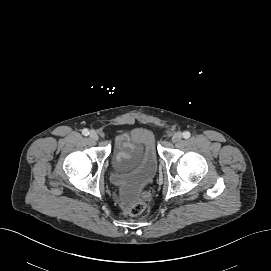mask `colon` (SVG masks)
I'll use <instances>...</instances> for the list:
<instances>
[{
	"instance_id": "colon-1",
	"label": "colon",
	"mask_w": 271,
	"mask_h": 271,
	"mask_svg": "<svg viewBox=\"0 0 271 271\" xmlns=\"http://www.w3.org/2000/svg\"><path fill=\"white\" fill-rule=\"evenodd\" d=\"M146 209V203L144 201H138L133 205L128 206L125 209V214L131 217L142 214Z\"/></svg>"
}]
</instances>
